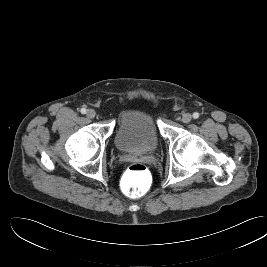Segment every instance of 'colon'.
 Wrapping results in <instances>:
<instances>
[{"label": "colon", "mask_w": 267, "mask_h": 267, "mask_svg": "<svg viewBox=\"0 0 267 267\" xmlns=\"http://www.w3.org/2000/svg\"><path fill=\"white\" fill-rule=\"evenodd\" d=\"M151 181L149 169L142 163H133L121 179V189L127 197H141L149 190Z\"/></svg>", "instance_id": "5ec220e1"}]
</instances>
